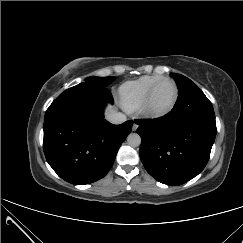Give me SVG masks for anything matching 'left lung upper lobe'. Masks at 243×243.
<instances>
[{
    "instance_id": "1",
    "label": "left lung upper lobe",
    "mask_w": 243,
    "mask_h": 243,
    "mask_svg": "<svg viewBox=\"0 0 243 243\" xmlns=\"http://www.w3.org/2000/svg\"><path fill=\"white\" fill-rule=\"evenodd\" d=\"M171 76L175 79L180 92L178 98L180 99L179 104L181 105L178 107H180V113L182 115L200 119L215 118L211 102L196 84L181 74L171 73Z\"/></svg>"
}]
</instances>
